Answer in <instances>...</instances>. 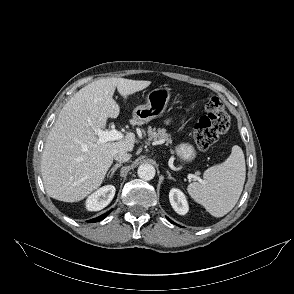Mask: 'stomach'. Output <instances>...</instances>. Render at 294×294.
<instances>
[{"mask_svg": "<svg viewBox=\"0 0 294 294\" xmlns=\"http://www.w3.org/2000/svg\"><path fill=\"white\" fill-rule=\"evenodd\" d=\"M171 91L168 87L153 89L147 94V103L133 110V123L142 125L150 120L161 117L170 100ZM175 153L183 162H191L196 157L195 148L189 143H181L175 148Z\"/></svg>", "mask_w": 294, "mask_h": 294, "instance_id": "stomach-1", "label": "stomach"}]
</instances>
